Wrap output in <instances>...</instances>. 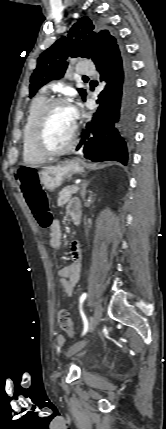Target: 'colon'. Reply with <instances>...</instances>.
Masks as SVG:
<instances>
[{"label":"colon","mask_w":166,"mask_h":429,"mask_svg":"<svg viewBox=\"0 0 166 429\" xmlns=\"http://www.w3.org/2000/svg\"><path fill=\"white\" fill-rule=\"evenodd\" d=\"M15 179L38 224L42 228L50 227L52 224V214L49 210L47 196L40 185L38 168L24 166L17 171ZM58 324L69 336H76V331L67 310L59 312Z\"/></svg>","instance_id":"5ec220e1"}]
</instances>
